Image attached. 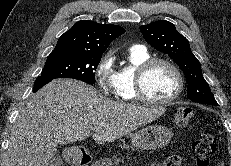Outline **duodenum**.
Instances as JSON below:
<instances>
[{"label":"duodenum","instance_id":"410a0bca","mask_svg":"<svg viewBox=\"0 0 231 166\" xmlns=\"http://www.w3.org/2000/svg\"><path fill=\"white\" fill-rule=\"evenodd\" d=\"M63 157L67 163L74 166H89L92 161V157L87 151L80 150H67Z\"/></svg>","mask_w":231,"mask_h":166}]
</instances>
